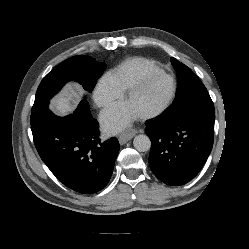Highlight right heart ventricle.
I'll use <instances>...</instances> for the list:
<instances>
[{"label":"right heart ventricle","mask_w":249,"mask_h":249,"mask_svg":"<svg viewBox=\"0 0 249 249\" xmlns=\"http://www.w3.org/2000/svg\"><path fill=\"white\" fill-rule=\"evenodd\" d=\"M159 72L163 71L154 61L131 57L120 63L109 75L121 91H126L144 76Z\"/></svg>","instance_id":"1"}]
</instances>
